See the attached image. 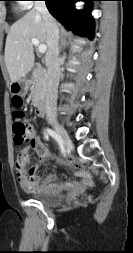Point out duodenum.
Here are the masks:
<instances>
[{
	"instance_id": "410a0bca",
	"label": "duodenum",
	"mask_w": 133,
	"mask_h": 253,
	"mask_svg": "<svg viewBox=\"0 0 133 253\" xmlns=\"http://www.w3.org/2000/svg\"><path fill=\"white\" fill-rule=\"evenodd\" d=\"M29 80V74L26 73L23 76V81L24 83H26ZM35 112L37 114V116L42 117L45 115L46 113V101L43 98L38 99L35 102Z\"/></svg>"
}]
</instances>
